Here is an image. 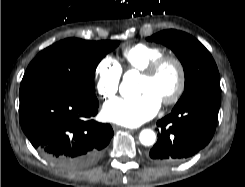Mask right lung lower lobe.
Listing matches in <instances>:
<instances>
[{"label": "right lung lower lobe", "mask_w": 245, "mask_h": 187, "mask_svg": "<svg viewBox=\"0 0 245 187\" xmlns=\"http://www.w3.org/2000/svg\"><path fill=\"white\" fill-rule=\"evenodd\" d=\"M99 102L59 88H40L20 95V124L38 152L54 165L82 170L103 155L114 132L91 119Z\"/></svg>", "instance_id": "1"}]
</instances>
